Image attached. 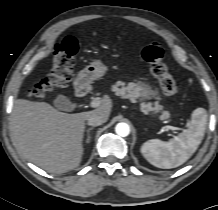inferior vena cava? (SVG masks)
<instances>
[{"label":"inferior vena cava","mask_w":218,"mask_h":210,"mask_svg":"<svg viewBox=\"0 0 218 210\" xmlns=\"http://www.w3.org/2000/svg\"><path fill=\"white\" fill-rule=\"evenodd\" d=\"M87 122L88 125L90 126H99L102 125L104 122H106V120L102 116L93 113L87 118Z\"/></svg>","instance_id":"1"}]
</instances>
